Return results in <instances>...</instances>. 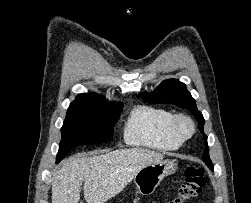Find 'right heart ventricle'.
Here are the masks:
<instances>
[{"label":"right heart ventricle","instance_id":"right-heart-ventricle-1","mask_svg":"<svg viewBox=\"0 0 251 203\" xmlns=\"http://www.w3.org/2000/svg\"><path fill=\"white\" fill-rule=\"evenodd\" d=\"M175 114L165 108L138 106L125 123L123 138L130 145L144 146L156 150L178 149L183 139L173 130Z\"/></svg>","mask_w":251,"mask_h":203}]
</instances>
